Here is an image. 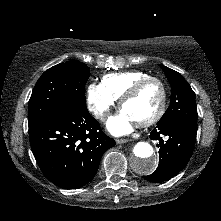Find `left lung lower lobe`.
Returning a JSON list of instances; mask_svg holds the SVG:
<instances>
[{
	"label": "left lung lower lobe",
	"instance_id": "left-lung-lower-lobe-1",
	"mask_svg": "<svg viewBox=\"0 0 221 221\" xmlns=\"http://www.w3.org/2000/svg\"><path fill=\"white\" fill-rule=\"evenodd\" d=\"M150 138L159 141V165L144 178L159 183L174 177L186 166L193 153L196 133L181 123H158Z\"/></svg>",
	"mask_w": 221,
	"mask_h": 221
}]
</instances>
